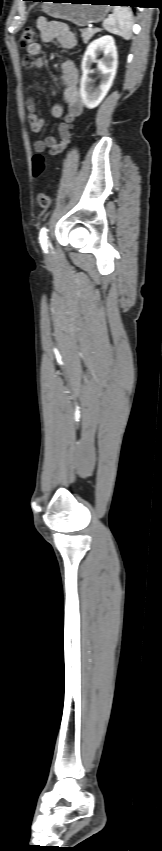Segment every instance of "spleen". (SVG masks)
I'll list each match as a JSON object with an SVG mask.
<instances>
[{
    "label": "spleen",
    "mask_w": 162,
    "mask_h": 851,
    "mask_svg": "<svg viewBox=\"0 0 162 851\" xmlns=\"http://www.w3.org/2000/svg\"><path fill=\"white\" fill-rule=\"evenodd\" d=\"M106 31L129 40L132 35V12L128 7L116 6L113 14L103 22Z\"/></svg>",
    "instance_id": "3e777b00"
}]
</instances>
